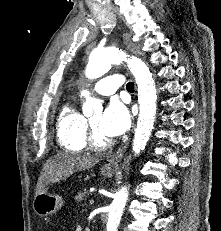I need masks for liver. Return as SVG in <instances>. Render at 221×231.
Returning a JSON list of instances; mask_svg holds the SVG:
<instances>
[{
    "label": "liver",
    "mask_w": 221,
    "mask_h": 231,
    "mask_svg": "<svg viewBox=\"0 0 221 231\" xmlns=\"http://www.w3.org/2000/svg\"><path fill=\"white\" fill-rule=\"evenodd\" d=\"M99 159L93 156L60 152L50 157L44 164L35 188V195L51 183L66 180L76 171L93 167Z\"/></svg>",
    "instance_id": "6515ba94"
}]
</instances>
